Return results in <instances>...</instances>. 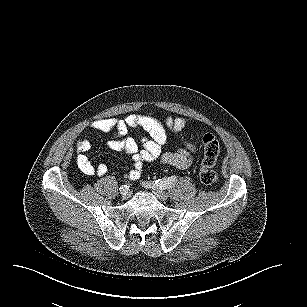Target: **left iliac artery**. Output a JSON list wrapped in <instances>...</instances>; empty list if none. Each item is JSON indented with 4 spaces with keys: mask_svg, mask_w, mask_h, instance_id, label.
Masks as SVG:
<instances>
[{
    "mask_svg": "<svg viewBox=\"0 0 307 307\" xmlns=\"http://www.w3.org/2000/svg\"><path fill=\"white\" fill-rule=\"evenodd\" d=\"M176 181H177V177L174 175L168 178L158 179L153 183V185H155L156 187L160 189H166L168 186L175 183ZM150 185L151 184L149 183L146 186H150Z\"/></svg>",
    "mask_w": 307,
    "mask_h": 307,
    "instance_id": "44dca946",
    "label": "left iliac artery"
}]
</instances>
